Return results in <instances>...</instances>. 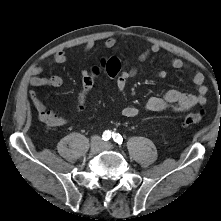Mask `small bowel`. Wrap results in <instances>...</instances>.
<instances>
[{
  "label": "small bowel",
  "instance_id": "small-bowel-1",
  "mask_svg": "<svg viewBox=\"0 0 221 221\" xmlns=\"http://www.w3.org/2000/svg\"><path fill=\"white\" fill-rule=\"evenodd\" d=\"M116 39L109 37L105 40L104 46L107 49L115 47ZM94 43L92 41L88 42L84 49L89 51L93 48ZM160 48L156 44L150 45L139 55L138 59L140 62H144L152 54L159 52ZM68 56L64 50L58 51L52 58L50 65L53 64H63L67 61ZM170 63L175 69L186 68L185 62L178 58L171 56ZM33 76L29 79V84L34 87L50 86L54 88L61 87L64 83L63 78L58 75H52L49 77L41 76L43 69L41 67L33 68ZM90 72L87 70L81 71L82 80ZM138 74V69L136 67L129 70L121 71L120 75L116 77V86L120 91H123L127 82L130 78ZM167 75L166 71L159 70L156 73V77L165 78ZM192 80L195 86V91L193 93L186 92L179 89H171L160 96L150 97L144 105L146 111L156 112L163 111L166 109H172L175 112H186L194 108L196 105H204L207 100L208 89L204 83V76L199 71L192 72ZM31 103L36 110L38 117L41 121L47 123L50 126H63L67 124L68 119L64 116L57 115L53 111L49 110L45 104L40 100L34 91H29L28 93ZM139 109L135 106H126L122 114L127 118H134L138 115Z\"/></svg>",
  "mask_w": 221,
  "mask_h": 221
}]
</instances>
